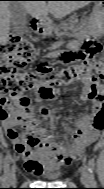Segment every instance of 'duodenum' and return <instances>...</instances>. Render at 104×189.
I'll use <instances>...</instances> for the list:
<instances>
[{
	"instance_id": "410a0bca",
	"label": "duodenum",
	"mask_w": 104,
	"mask_h": 189,
	"mask_svg": "<svg viewBox=\"0 0 104 189\" xmlns=\"http://www.w3.org/2000/svg\"><path fill=\"white\" fill-rule=\"evenodd\" d=\"M48 26L49 20L45 18L32 19L31 21L32 31L40 35L47 33Z\"/></svg>"
}]
</instances>
